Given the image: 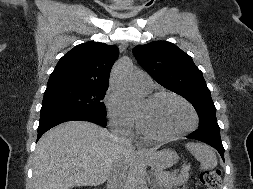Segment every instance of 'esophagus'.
I'll use <instances>...</instances> for the list:
<instances>
[{
	"instance_id": "34e87169",
	"label": "esophagus",
	"mask_w": 253,
	"mask_h": 189,
	"mask_svg": "<svg viewBox=\"0 0 253 189\" xmlns=\"http://www.w3.org/2000/svg\"><path fill=\"white\" fill-rule=\"evenodd\" d=\"M133 153L135 155H145L146 154V150L144 148H142L140 145L135 144L133 146Z\"/></svg>"
}]
</instances>
